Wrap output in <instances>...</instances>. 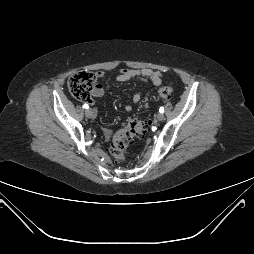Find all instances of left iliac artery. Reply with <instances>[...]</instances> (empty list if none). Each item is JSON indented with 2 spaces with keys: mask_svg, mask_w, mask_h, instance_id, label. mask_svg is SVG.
Returning a JSON list of instances; mask_svg holds the SVG:
<instances>
[{
  "mask_svg": "<svg viewBox=\"0 0 254 254\" xmlns=\"http://www.w3.org/2000/svg\"><path fill=\"white\" fill-rule=\"evenodd\" d=\"M159 112H160V113H163V112H164V108H163V107H160Z\"/></svg>",
  "mask_w": 254,
  "mask_h": 254,
  "instance_id": "obj_1",
  "label": "left iliac artery"
}]
</instances>
